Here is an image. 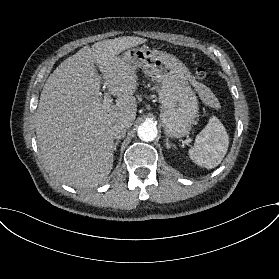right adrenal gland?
Here are the masks:
<instances>
[{
    "instance_id": "right-adrenal-gland-1",
    "label": "right adrenal gland",
    "mask_w": 279,
    "mask_h": 279,
    "mask_svg": "<svg viewBox=\"0 0 279 279\" xmlns=\"http://www.w3.org/2000/svg\"><path fill=\"white\" fill-rule=\"evenodd\" d=\"M119 144V141H116L114 144V151H117V145Z\"/></svg>"
}]
</instances>
